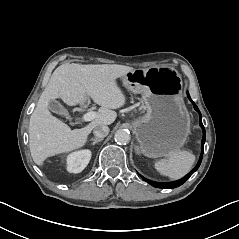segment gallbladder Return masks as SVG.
Returning <instances> with one entry per match:
<instances>
[{"label":"gallbladder","instance_id":"bac80fb5","mask_svg":"<svg viewBox=\"0 0 239 239\" xmlns=\"http://www.w3.org/2000/svg\"><path fill=\"white\" fill-rule=\"evenodd\" d=\"M48 109L54 113L65 115L67 120L71 119V116L68 115V111L64 108L58 101L52 99L48 102Z\"/></svg>","mask_w":239,"mask_h":239}]
</instances>
